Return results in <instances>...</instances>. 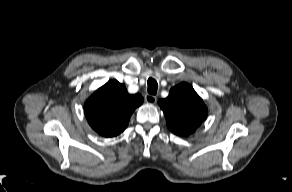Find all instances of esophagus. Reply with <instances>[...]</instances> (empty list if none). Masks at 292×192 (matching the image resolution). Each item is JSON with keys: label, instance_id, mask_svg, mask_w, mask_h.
Here are the masks:
<instances>
[{"label": "esophagus", "instance_id": "esophagus-1", "mask_svg": "<svg viewBox=\"0 0 292 192\" xmlns=\"http://www.w3.org/2000/svg\"><path fill=\"white\" fill-rule=\"evenodd\" d=\"M144 98H145V101H146L147 103H150V104H155L156 101H157L156 96H154V95H150V94H146Z\"/></svg>", "mask_w": 292, "mask_h": 192}]
</instances>
